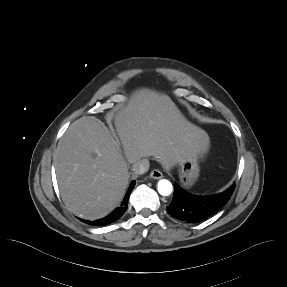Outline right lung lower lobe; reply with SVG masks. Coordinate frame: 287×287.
Returning a JSON list of instances; mask_svg holds the SVG:
<instances>
[{
  "label": "right lung lower lobe",
  "instance_id": "98d812e1",
  "mask_svg": "<svg viewBox=\"0 0 287 287\" xmlns=\"http://www.w3.org/2000/svg\"><path fill=\"white\" fill-rule=\"evenodd\" d=\"M135 181H132L129 189L120 205V207L116 208L112 213H110L109 215H107L106 217L96 220V221H88V220H82L84 223L92 225V226H105L108 224H111L115 221H117L120 217H122V215L125 213V211L127 210L128 207V200L130 197V194L135 186Z\"/></svg>",
  "mask_w": 287,
  "mask_h": 287
}]
</instances>
